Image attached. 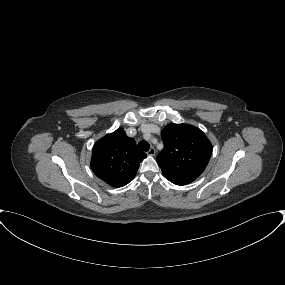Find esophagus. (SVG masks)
I'll use <instances>...</instances> for the list:
<instances>
[{
  "instance_id": "1",
  "label": "esophagus",
  "mask_w": 285,
  "mask_h": 285,
  "mask_svg": "<svg viewBox=\"0 0 285 285\" xmlns=\"http://www.w3.org/2000/svg\"><path fill=\"white\" fill-rule=\"evenodd\" d=\"M155 153H156V151H155V148H154V147H151V148L149 149V151L147 152V154H148L149 156H154Z\"/></svg>"
}]
</instances>
